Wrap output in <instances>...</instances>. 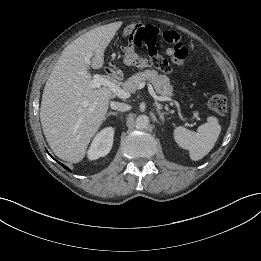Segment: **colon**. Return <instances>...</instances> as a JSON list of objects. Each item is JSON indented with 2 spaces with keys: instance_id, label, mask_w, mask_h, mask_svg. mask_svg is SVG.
<instances>
[{
  "instance_id": "colon-1",
  "label": "colon",
  "mask_w": 261,
  "mask_h": 261,
  "mask_svg": "<svg viewBox=\"0 0 261 261\" xmlns=\"http://www.w3.org/2000/svg\"><path fill=\"white\" fill-rule=\"evenodd\" d=\"M120 32L123 37H128L134 46L145 47L150 64L162 72H168L169 65L159 54L157 40L172 44L177 55L181 57L186 55L177 29H172L171 31L159 29L150 24L148 20H145L142 23L130 21L128 26L121 28ZM208 107L212 112L224 115L227 112V100L222 95H214L208 100Z\"/></svg>"
}]
</instances>
